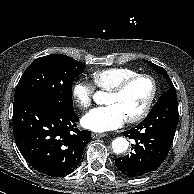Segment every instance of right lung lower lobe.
<instances>
[{
	"instance_id": "98d812e1",
	"label": "right lung lower lobe",
	"mask_w": 194,
	"mask_h": 194,
	"mask_svg": "<svg viewBox=\"0 0 194 194\" xmlns=\"http://www.w3.org/2000/svg\"><path fill=\"white\" fill-rule=\"evenodd\" d=\"M73 103L59 104L41 96L14 100L13 133L24 159L37 171L63 177L76 168L91 141L89 131L75 127Z\"/></svg>"
}]
</instances>
